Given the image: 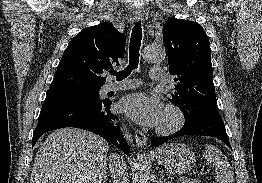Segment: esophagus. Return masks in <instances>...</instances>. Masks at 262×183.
Here are the masks:
<instances>
[{
  "label": "esophagus",
  "instance_id": "34e87169",
  "mask_svg": "<svg viewBox=\"0 0 262 183\" xmlns=\"http://www.w3.org/2000/svg\"><path fill=\"white\" fill-rule=\"evenodd\" d=\"M134 17H135V20H137V21L143 20V12L142 11H135ZM135 139H136V143H137L138 146L142 147V146H145L147 144L146 135L138 129L135 131Z\"/></svg>",
  "mask_w": 262,
  "mask_h": 183
}]
</instances>
